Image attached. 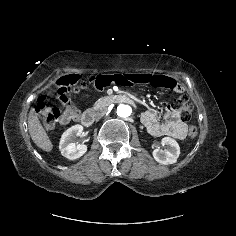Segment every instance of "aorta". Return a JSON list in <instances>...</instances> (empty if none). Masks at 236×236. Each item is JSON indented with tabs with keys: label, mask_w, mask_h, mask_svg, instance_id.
I'll use <instances>...</instances> for the list:
<instances>
[{
	"label": "aorta",
	"mask_w": 236,
	"mask_h": 236,
	"mask_svg": "<svg viewBox=\"0 0 236 236\" xmlns=\"http://www.w3.org/2000/svg\"><path fill=\"white\" fill-rule=\"evenodd\" d=\"M116 114L120 118H128L132 114V108L129 105L121 104L117 107Z\"/></svg>",
	"instance_id": "obj_1"
}]
</instances>
